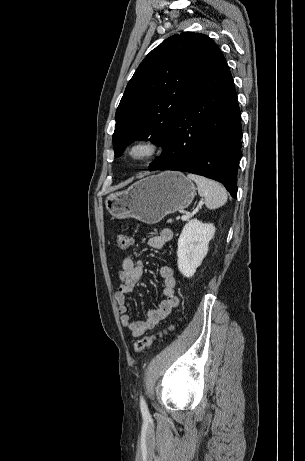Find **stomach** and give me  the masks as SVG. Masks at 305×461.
I'll use <instances>...</instances> for the list:
<instances>
[{"label":"stomach","instance_id":"0dacf381","mask_svg":"<svg viewBox=\"0 0 305 461\" xmlns=\"http://www.w3.org/2000/svg\"><path fill=\"white\" fill-rule=\"evenodd\" d=\"M196 195V187L184 174L165 171L145 177L128 189L106 197L108 212L118 218H135L148 224L187 208Z\"/></svg>","mask_w":305,"mask_h":461}]
</instances>
